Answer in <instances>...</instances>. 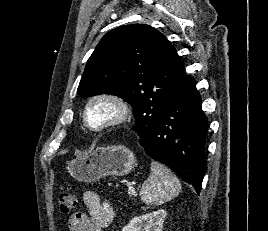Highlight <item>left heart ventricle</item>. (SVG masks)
Wrapping results in <instances>:
<instances>
[{"instance_id":"left-heart-ventricle-1","label":"left heart ventricle","mask_w":268,"mask_h":231,"mask_svg":"<svg viewBox=\"0 0 268 231\" xmlns=\"http://www.w3.org/2000/svg\"><path fill=\"white\" fill-rule=\"evenodd\" d=\"M115 115V107L109 102H96L88 111V121L91 125H100Z\"/></svg>"}]
</instances>
